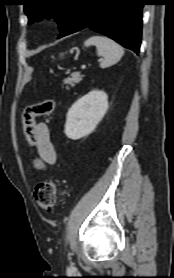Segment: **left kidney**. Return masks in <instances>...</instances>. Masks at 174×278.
<instances>
[{
	"instance_id": "1",
	"label": "left kidney",
	"mask_w": 174,
	"mask_h": 278,
	"mask_svg": "<svg viewBox=\"0 0 174 278\" xmlns=\"http://www.w3.org/2000/svg\"><path fill=\"white\" fill-rule=\"evenodd\" d=\"M108 109V96L104 91L93 90L77 100L67 113L65 134L78 140L91 134Z\"/></svg>"
}]
</instances>
